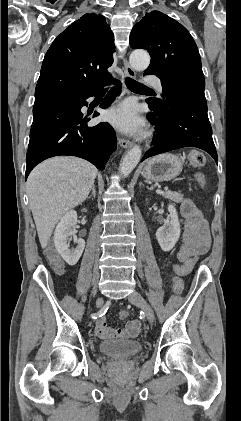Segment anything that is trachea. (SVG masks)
Segmentation results:
<instances>
[{
	"instance_id": "3493384b",
	"label": "trachea",
	"mask_w": 241,
	"mask_h": 421,
	"mask_svg": "<svg viewBox=\"0 0 241 421\" xmlns=\"http://www.w3.org/2000/svg\"><path fill=\"white\" fill-rule=\"evenodd\" d=\"M126 85H127V87L130 89V90H146V89H148L146 86H144L143 84H140L139 82H137V81H135V80H133V79H131V78H127L126 79ZM108 90V88H106L105 90H104V92L105 91H107Z\"/></svg>"
}]
</instances>
